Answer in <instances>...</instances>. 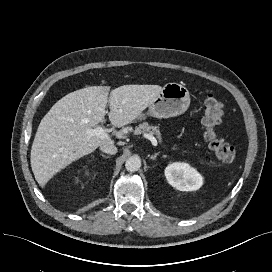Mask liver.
<instances>
[{
    "instance_id": "obj_1",
    "label": "liver",
    "mask_w": 272,
    "mask_h": 272,
    "mask_svg": "<svg viewBox=\"0 0 272 272\" xmlns=\"http://www.w3.org/2000/svg\"><path fill=\"white\" fill-rule=\"evenodd\" d=\"M110 88L90 86L65 95L41 120L32 149L31 168L40 186L72 162L95 151L108 138L86 131L106 121ZM162 91L159 85H123L111 91L109 120L115 127L132 123Z\"/></svg>"
}]
</instances>
